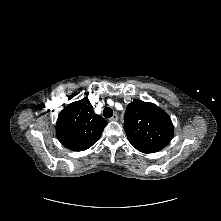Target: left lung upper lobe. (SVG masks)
<instances>
[{"mask_svg":"<svg viewBox=\"0 0 221 221\" xmlns=\"http://www.w3.org/2000/svg\"><path fill=\"white\" fill-rule=\"evenodd\" d=\"M124 130L129 142L142 153L162 150L174 135L172 121L164 110L137 99L127 106Z\"/></svg>","mask_w":221,"mask_h":221,"instance_id":"5c2ea615","label":"left lung upper lobe"}]
</instances>
